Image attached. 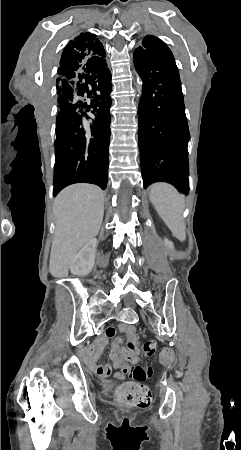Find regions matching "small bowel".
Listing matches in <instances>:
<instances>
[{"instance_id":"obj_1","label":"small bowel","mask_w":241,"mask_h":450,"mask_svg":"<svg viewBox=\"0 0 241 450\" xmlns=\"http://www.w3.org/2000/svg\"><path fill=\"white\" fill-rule=\"evenodd\" d=\"M116 330L124 333L127 338L126 344L121 337H115L112 342L111 351L109 353L110 363L99 365L94 368V371L99 376H113L116 379H125L128 376L125 368H129L131 365L140 363V351H139V340L137 336V330L134 325L131 324H119L115 327H107L105 329V335L110 337L109 334L115 335ZM106 345V339L100 338L94 344L91 356L94 359H99L101 357V352ZM120 363L122 365V370L113 371L112 365Z\"/></svg>"}]
</instances>
